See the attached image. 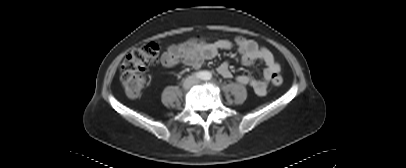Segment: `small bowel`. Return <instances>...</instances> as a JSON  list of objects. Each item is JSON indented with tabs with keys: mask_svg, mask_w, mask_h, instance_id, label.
I'll use <instances>...</instances> for the list:
<instances>
[{
	"mask_svg": "<svg viewBox=\"0 0 406 168\" xmlns=\"http://www.w3.org/2000/svg\"><path fill=\"white\" fill-rule=\"evenodd\" d=\"M233 46L237 48L243 64L249 65L259 61L264 65L261 78L242 74L237 76L236 81L250 86L258 96L266 95L267 85L272 75L280 71V65L268 48L259 46L256 41L243 36L235 37L233 43L228 40L207 42L195 37L179 44H172L163 53L161 63L165 67H175L182 63L188 67L199 68L204 61L215 57L219 50H230ZM217 70L224 78L232 77L227 61L223 62Z\"/></svg>",
	"mask_w": 406,
	"mask_h": 168,
	"instance_id": "1",
	"label": "small bowel"
}]
</instances>
